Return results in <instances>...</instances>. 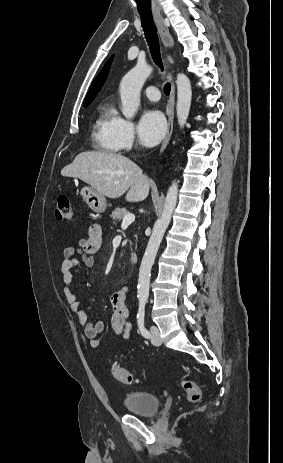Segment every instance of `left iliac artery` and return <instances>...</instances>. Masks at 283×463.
<instances>
[{
	"instance_id": "left-iliac-artery-1",
	"label": "left iliac artery",
	"mask_w": 283,
	"mask_h": 463,
	"mask_svg": "<svg viewBox=\"0 0 283 463\" xmlns=\"http://www.w3.org/2000/svg\"><path fill=\"white\" fill-rule=\"evenodd\" d=\"M145 304H146V300H140L139 309H138V313H137V323H138V327H139V330H140L141 334H142L145 338H149V337H150V333H149V331L145 328V325H144Z\"/></svg>"
}]
</instances>
